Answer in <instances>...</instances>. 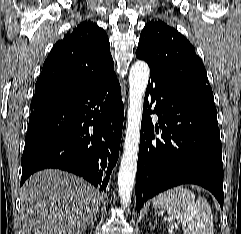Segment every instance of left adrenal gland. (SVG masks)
<instances>
[{
    "mask_svg": "<svg viewBox=\"0 0 241 234\" xmlns=\"http://www.w3.org/2000/svg\"><path fill=\"white\" fill-rule=\"evenodd\" d=\"M155 227V226H154ZM154 227L153 226H151V229H154Z\"/></svg>",
    "mask_w": 241,
    "mask_h": 234,
    "instance_id": "a2214340",
    "label": "left adrenal gland"
}]
</instances>
